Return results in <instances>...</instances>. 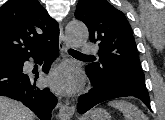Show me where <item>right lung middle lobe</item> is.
<instances>
[{
  "mask_svg": "<svg viewBox=\"0 0 165 120\" xmlns=\"http://www.w3.org/2000/svg\"><path fill=\"white\" fill-rule=\"evenodd\" d=\"M9 65H11V63H2V64H0V68H1V67H7V66H9Z\"/></svg>",
  "mask_w": 165,
  "mask_h": 120,
  "instance_id": "dd1d6c3e",
  "label": "right lung middle lobe"
}]
</instances>
